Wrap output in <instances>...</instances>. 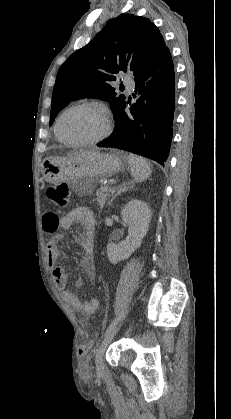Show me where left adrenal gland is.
<instances>
[{"instance_id":"obj_1","label":"left adrenal gland","mask_w":231,"mask_h":419,"mask_svg":"<svg viewBox=\"0 0 231 419\" xmlns=\"http://www.w3.org/2000/svg\"><path fill=\"white\" fill-rule=\"evenodd\" d=\"M133 185H129V184H123L122 186H120V188L117 190L116 194L112 197V199L109 201L108 204H111V202L121 193L126 192L128 189L132 188Z\"/></svg>"}]
</instances>
